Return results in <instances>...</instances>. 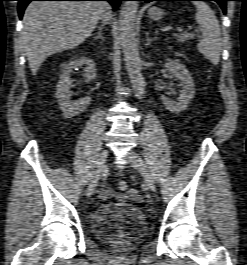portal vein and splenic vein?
Listing matches in <instances>:
<instances>
[{
  "label": "portal vein and splenic vein",
  "mask_w": 247,
  "mask_h": 265,
  "mask_svg": "<svg viewBox=\"0 0 247 265\" xmlns=\"http://www.w3.org/2000/svg\"><path fill=\"white\" fill-rule=\"evenodd\" d=\"M178 31L181 33L183 30L182 29H179ZM191 35H193V34H191Z\"/></svg>",
  "instance_id": "obj_1"
}]
</instances>
